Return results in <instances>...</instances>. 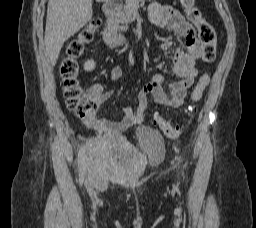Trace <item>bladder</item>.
I'll use <instances>...</instances> for the list:
<instances>
[{
  "label": "bladder",
  "instance_id": "1",
  "mask_svg": "<svg viewBox=\"0 0 256 228\" xmlns=\"http://www.w3.org/2000/svg\"><path fill=\"white\" fill-rule=\"evenodd\" d=\"M140 138L144 151L123 137L103 135L88 139L85 148L91 171L105 179L140 177L165 152L164 139L157 131L141 129Z\"/></svg>",
  "mask_w": 256,
  "mask_h": 228
}]
</instances>
